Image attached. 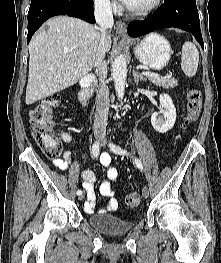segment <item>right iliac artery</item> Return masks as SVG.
I'll list each match as a JSON object with an SVG mask.
<instances>
[{
  "label": "right iliac artery",
  "instance_id": "82829eb1",
  "mask_svg": "<svg viewBox=\"0 0 221 263\" xmlns=\"http://www.w3.org/2000/svg\"><path fill=\"white\" fill-rule=\"evenodd\" d=\"M100 153V143L99 142H95L92 146V154L95 158H97L99 156ZM82 191L81 190H77V195H81Z\"/></svg>",
  "mask_w": 221,
  "mask_h": 263
}]
</instances>
